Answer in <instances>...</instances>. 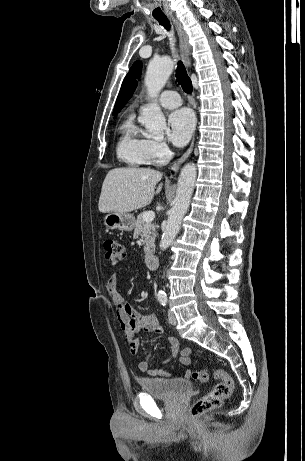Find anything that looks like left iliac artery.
Masks as SVG:
<instances>
[{"instance_id":"44dca946","label":"left iliac artery","mask_w":305,"mask_h":461,"mask_svg":"<svg viewBox=\"0 0 305 461\" xmlns=\"http://www.w3.org/2000/svg\"><path fill=\"white\" fill-rule=\"evenodd\" d=\"M158 300H159V302H160L163 306H165L166 303H167V296H166V294H160V295H158Z\"/></svg>"}]
</instances>
